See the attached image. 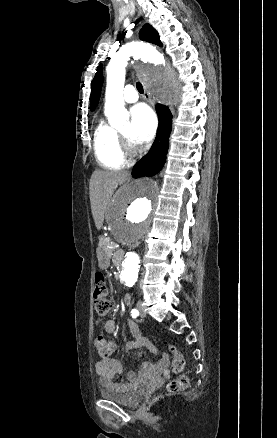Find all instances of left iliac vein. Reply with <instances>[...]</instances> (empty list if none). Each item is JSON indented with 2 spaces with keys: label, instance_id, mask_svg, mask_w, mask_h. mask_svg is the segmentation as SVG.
Instances as JSON below:
<instances>
[{
  "label": "left iliac vein",
  "instance_id": "1",
  "mask_svg": "<svg viewBox=\"0 0 277 438\" xmlns=\"http://www.w3.org/2000/svg\"><path fill=\"white\" fill-rule=\"evenodd\" d=\"M137 308H138L140 316L141 317H145L146 314L144 312V309L142 307V303L140 301L137 303Z\"/></svg>",
  "mask_w": 277,
  "mask_h": 438
}]
</instances>
